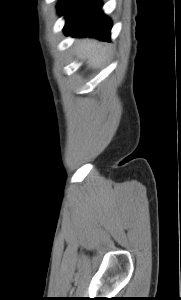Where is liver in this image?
Segmentation results:
<instances>
[{
	"label": "liver",
	"mask_w": 181,
	"mask_h": 300,
	"mask_svg": "<svg viewBox=\"0 0 181 300\" xmlns=\"http://www.w3.org/2000/svg\"><path fill=\"white\" fill-rule=\"evenodd\" d=\"M96 46L97 42L95 40H86L80 46V52L84 54L93 52L89 59V63L92 66L99 65L105 58V47L96 49Z\"/></svg>",
	"instance_id": "1"
}]
</instances>
